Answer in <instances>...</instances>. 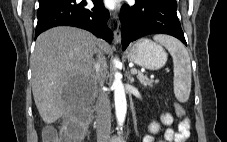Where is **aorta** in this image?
<instances>
[{"label": "aorta", "instance_id": "obj_1", "mask_svg": "<svg viewBox=\"0 0 227 142\" xmlns=\"http://www.w3.org/2000/svg\"><path fill=\"white\" fill-rule=\"evenodd\" d=\"M115 68L120 66V61L116 58L113 61ZM113 89H114V101H115V112L117 123L121 127L125 121L126 113H127V102L125 96L124 86L121 80V74L117 71L114 75L113 81Z\"/></svg>", "mask_w": 227, "mask_h": 142}]
</instances>
